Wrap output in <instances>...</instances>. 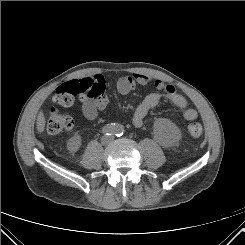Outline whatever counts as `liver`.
<instances>
[{"label": "liver", "instance_id": "6515ba94", "mask_svg": "<svg viewBox=\"0 0 245 245\" xmlns=\"http://www.w3.org/2000/svg\"><path fill=\"white\" fill-rule=\"evenodd\" d=\"M45 127V118L43 112H39L37 116L36 128L38 133H42Z\"/></svg>", "mask_w": 245, "mask_h": 245}]
</instances>
